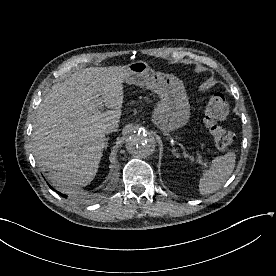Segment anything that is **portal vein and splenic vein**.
<instances>
[{"label": "portal vein and splenic vein", "mask_w": 276, "mask_h": 276, "mask_svg": "<svg viewBox=\"0 0 276 276\" xmlns=\"http://www.w3.org/2000/svg\"><path fill=\"white\" fill-rule=\"evenodd\" d=\"M102 106H103L102 103H99V108H102ZM189 157L193 159V156H189ZM198 161L201 165H203L204 167H207L208 164L204 162L201 157H198Z\"/></svg>", "instance_id": "1"}]
</instances>
